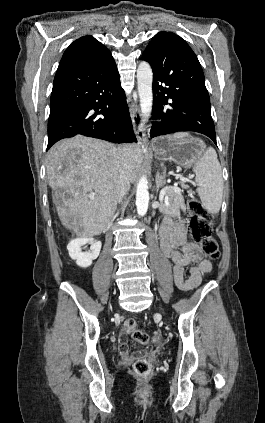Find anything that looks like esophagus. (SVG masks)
Instances as JSON below:
<instances>
[{"label":"esophagus","mask_w":265,"mask_h":423,"mask_svg":"<svg viewBox=\"0 0 265 423\" xmlns=\"http://www.w3.org/2000/svg\"><path fill=\"white\" fill-rule=\"evenodd\" d=\"M130 111H131V118H132L134 133L138 141L141 143H147L148 140L145 133L144 123H143L142 115L139 111V108L137 106H133V107L131 106Z\"/></svg>","instance_id":"34e87169"}]
</instances>
